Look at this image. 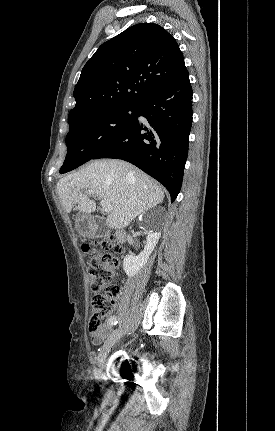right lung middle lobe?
<instances>
[{"mask_svg":"<svg viewBox=\"0 0 275 431\" xmlns=\"http://www.w3.org/2000/svg\"><path fill=\"white\" fill-rule=\"evenodd\" d=\"M136 114V106H114L94 111L69 124L68 151L60 173L93 159L134 122Z\"/></svg>","mask_w":275,"mask_h":431,"instance_id":"obj_1","label":"right lung middle lobe"}]
</instances>
